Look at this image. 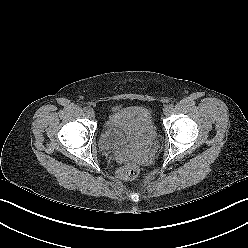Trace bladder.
Listing matches in <instances>:
<instances>
[{"label":"bladder","mask_w":248,"mask_h":248,"mask_svg":"<svg viewBox=\"0 0 248 248\" xmlns=\"http://www.w3.org/2000/svg\"><path fill=\"white\" fill-rule=\"evenodd\" d=\"M115 119L122 133H114L109 129V117ZM103 124L99 143L106 151L117 150L131 141L144 137L152 141L156 136V127L152 111L143 106H128L115 109Z\"/></svg>","instance_id":"31cf9c89"}]
</instances>
